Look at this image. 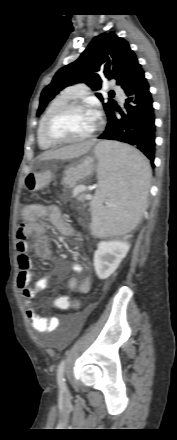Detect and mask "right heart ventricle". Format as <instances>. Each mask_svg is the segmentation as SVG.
I'll return each mask as SVG.
<instances>
[{
  "instance_id": "1",
  "label": "right heart ventricle",
  "mask_w": 177,
  "mask_h": 440,
  "mask_svg": "<svg viewBox=\"0 0 177 440\" xmlns=\"http://www.w3.org/2000/svg\"><path fill=\"white\" fill-rule=\"evenodd\" d=\"M73 100V97L68 93V92H64L61 93L60 95L56 96L55 98H53L50 103L47 105L44 113L42 114L39 124H38V128H37V139H38V144L42 149H49L55 146V144H52L51 142H49L43 135V126L44 123L46 121V119L48 118V116L58 107L69 103Z\"/></svg>"
}]
</instances>
